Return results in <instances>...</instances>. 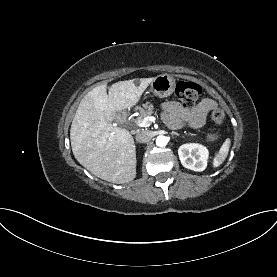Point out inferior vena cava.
<instances>
[{
	"label": "inferior vena cava",
	"mask_w": 277,
	"mask_h": 277,
	"mask_svg": "<svg viewBox=\"0 0 277 277\" xmlns=\"http://www.w3.org/2000/svg\"><path fill=\"white\" fill-rule=\"evenodd\" d=\"M151 139L150 133L148 131H140L136 134V141L139 143H147Z\"/></svg>",
	"instance_id": "1"
}]
</instances>
